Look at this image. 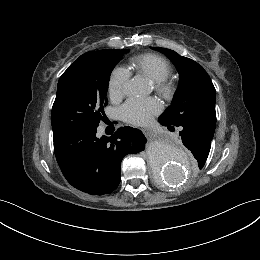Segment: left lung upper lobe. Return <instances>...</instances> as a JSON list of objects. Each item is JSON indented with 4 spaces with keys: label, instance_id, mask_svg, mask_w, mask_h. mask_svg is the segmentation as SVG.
<instances>
[{
    "label": "left lung upper lobe",
    "instance_id": "5c2ea615",
    "mask_svg": "<svg viewBox=\"0 0 260 260\" xmlns=\"http://www.w3.org/2000/svg\"><path fill=\"white\" fill-rule=\"evenodd\" d=\"M153 49L164 53L176 66L180 81L172 105L161 115L174 126L185 122L215 131L216 91L207 72L192 59L180 56L173 50L161 47ZM200 169L204 165H198Z\"/></svg>",
    "mask_w": 260,
    "mask_h": 260
}]
</instances>
